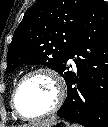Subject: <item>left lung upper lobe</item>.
Returning a JSON list of instances; mask_svg holds the SVG:
<instances>
[{
	"mask_svg": "<svg viewBox=\"0 0 108 127\" xmlns=\"http://www.w3.org/2000/svg\"><path fill=\"white\" fill-rule=\"evenodd\" d=\"M88 0H38L28 8L8 49L6 72L19 65L42 64L65 78L75 32Z\"/></svg>",
	"mask_w": 108,
	"mask_h": 127,
	"instance_id": "1",
	"label": "left lung upper lobe"
}]
</instances>
